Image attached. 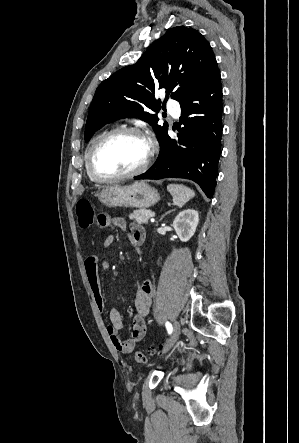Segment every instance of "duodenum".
<instances>
[{
    "mask_svg": "<svg viewBox=\"0 0 299 443\" xmlns=\"http://www.w3.org/2000/svg\"><path fill=\"white\" fill-rule=\"evenodd\" d=\"M135 245H139V242H136Z\"/></svg>",
    "mask_w": 299,
    "mask_h": 443,
    "instance_id": "duodenum-1",
    "label": "duodenum"
}]
</instances>
